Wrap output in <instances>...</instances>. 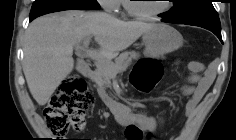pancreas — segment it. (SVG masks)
<instances>
[{
  "label": "pancreas",
  "mask_w": 236,
  "mask_h": 140,
  "mask_svg": "<svg viewBox=\"0 0 236 140\" xmlns=\"http://www.w3.org/2000/svg\"><path fill=\"white\" fill-rule=\"evenodd\" d=\"M139 53L134 51L124 52L115 59V63L111 61L97 62L96 69L91 75V79L97 83L101 88L111 87V79H113L117 73L125 71L132 60L138 59Z\"/></svg>",
  "instance_id": "pancreas-1"
}]
</instances>
